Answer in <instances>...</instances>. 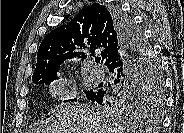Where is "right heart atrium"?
Masks as SVG:
<instances>
[{"label":"right heart atrium","mask_w":184,"mask_h":133,"mask_svg":"<svg viewBox=\"0 0 184 133\" xmlns=\"http://www.w3.org/2000/svg\"><path fill=\"white\" fill-rule=\"evenodd\" d=\"M67 92L66 85L63 81L57 80L50 85V94L55 99H62Z\"/></svg>","instance_id":"obj_1"}]
</instances>
